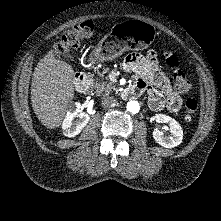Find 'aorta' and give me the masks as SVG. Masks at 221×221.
Here are the masks:
<instances>
[{
  "mask_svg": "<svg viewBox=\"0 0 221 221\" xmlns=\"http://www.w3.org/2000/svg\"><path fill=\"white\" fill-rule=\"evenodd\" d=\"M127 110L133 114L138 113L140 110V105L137 101L135 100H130L127 102Z\"/></svg>",
  "mask_w": 221,
  "mask_h": 221,
  "instance_id": "762f6f07",
  "label": "aorta"
}]
</instances>
